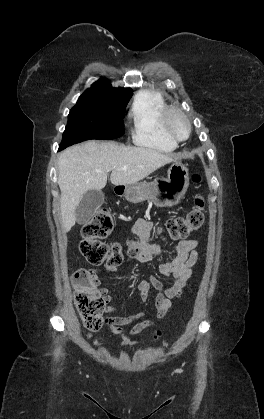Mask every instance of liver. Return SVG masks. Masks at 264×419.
I'll return each mask as SVG.
<instances>
[{
	"mask_svg": "<svg viewBox=\"0 0 264 419\" xmlns=\"http://www.w3.org/2000/svg\"><path fill=\"white\" fill-rule=\"evenodd\" d=\"M177 159L174 154L115 142L88 141L67 148L58 160L63 229L69 232L75 225V212L82 196L106 186L108 172L112 184L127 186Z\"/></svg>",
	"mask_w": 264,
	"mask_h": 419,
	"instance_id": "6515ba94",
	"label": "liver"
}]
</instances>
